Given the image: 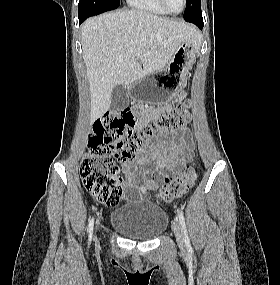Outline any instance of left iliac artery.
Instances as JSON below:
<instances>
[{
    "label": "left iliac artery",
    "mask_w": 280,
    "mask_h": 285,
    "mask_svg": "<svg viewBox=\"0 0 280 285\" xmlns=\"http://www.w3.org/2000/svg\"><path fill=\"white\" fill-rule=\"evenodd\" d=\"M178 217H179V221H180V224L182 226V229L184 231V240H185L186 247H187L188 250H191L192 247H191L190 240H189V237H188V233H187V230H186L185 219H184L182 211H180V210H178Z\"/></svg>",
    "instance_id": "left-iliac-artery-1"
}]
</instances>
